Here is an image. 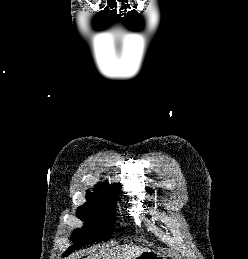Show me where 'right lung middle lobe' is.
<instances>
[{
  "label": "right lung middle lobe",
  "mask_w": 248,
  "mask_h": 259,
  "mask_svg": "<svg viewBox=\"0 0 248 259\" xmlns=\"http://www.w3.org/2000/svg\"><path fill=\"white\" fill-rule=\"evenodd\" d=\"M116 199L115 197L87 199L86 204L77 209L78 218L85 221L87 225L83 230L73 232V238L77 242L69 247L63 256H67L85 245L110 239L116 220V217L113 216Z\"/></svg>",
  "instance_id": "1"
}]
</instances>
